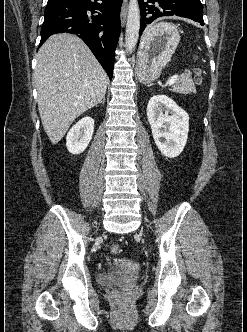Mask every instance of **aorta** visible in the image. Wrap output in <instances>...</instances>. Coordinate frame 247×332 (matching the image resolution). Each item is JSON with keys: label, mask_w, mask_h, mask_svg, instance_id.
Here are the masks:
<instances>
[{"label": "aorta", "mask_w": 247, "mask_h": 332, "mask_svg": "<svg viewBox=\"0 0 247 332\" xmlns=\"http://www.w3.org/2000/svg\"><path fill=\"white\" fill-rule=\"evenodd\" d=\"M140 29V11L138 0H130L125 33V46L131 53L137 44Z\"/></svg>", "instance_id": "1"}]
</instances>
